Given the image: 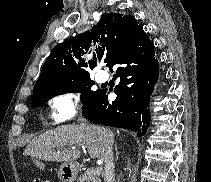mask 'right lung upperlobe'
Listing matches in <instances>:
<instances>
[{"label": "right lung upper lobe", "mask_w": 211, "mask_h": 182, "mask_svg": "<svg viewBox=\"0 0 211 182\" xmlns=\"http://www.w3.org/2000/svg\"><path fill=\"white\" fill-rule=\"evenodd\" d=\"M144 32L134 17L109 13L97 26L53 48L46 59L34 93L43 87L70 82L90 75L104 58L109 67L116 51ZM89 54H93L89 57Z\"/></svg>", "instance_id": "1"}]
</instances>
